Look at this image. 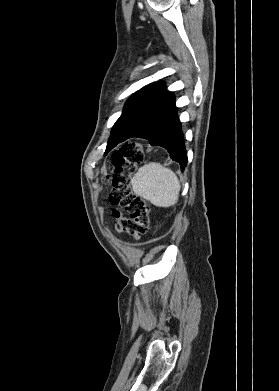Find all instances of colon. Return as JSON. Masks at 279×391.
Returning a JSON list of instances; mask_svg holds the SVG:
<instances>
[{"instance_id":"1","label":"colon","mask_w":279,"mask_h":391,"mask_svg":"<svg viewBox=\"0 0 279 391\" xmlns=\"http://www.w3.org/2000/svg\"><path fill=\"white\" fill-rule=\"evenodd\" d=\"M143 148L138 143L124 144L111 159L110 175L107 181L112 186L109 202L113 206L124 208L129 216H124L119 209H114L112 215L115 227L119 232L140 238L149 228L150 207L147 202L131 187L132 176L138 164L143 160Z\"/></svg>"}]
</instances>
